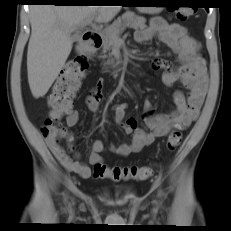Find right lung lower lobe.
Segmentation results:
<instances>
[{
    "label": "right lung lower lobe",
    "instance_id": "obj_1",
    "mask_svg": "<svg viewBox=\"0 0 231 231\" xmlns=\"http://www.w3.org/2000/svg\"><path fill=\"white\" fill-rule=\"evenodd\" d=\"M76 0H27L32 4L38 3H53L55 5H80L79 2H75Z\"/></svg>",
    "mask_w": 231,
    "mask_h": 231
}]
</instances>
